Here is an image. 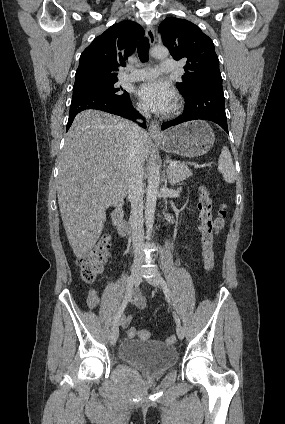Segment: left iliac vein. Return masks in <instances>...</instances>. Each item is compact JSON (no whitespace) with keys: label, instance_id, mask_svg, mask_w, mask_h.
<instances>
[{"label":"left iliac vein","instance_id":"1","mask_svg":"<svg viewBox=\"0 0 285 424\" xmlns=\"http://www.w3.org/2000/svg\"><path fill=\"white\" fill-rule=\"evenodd\" d=\"M147 281H148L149 284H151V285H153L155 287H160V284L161 283H160L159 277L156 276V275H153L152 277H149L147 279ZM176 333H177V336H178L179 339H183V337H184V330H183V328H182L181 325H177V327H176Z\"/></svg>","mask_w":285,"mask_h":424}]
</instances>
